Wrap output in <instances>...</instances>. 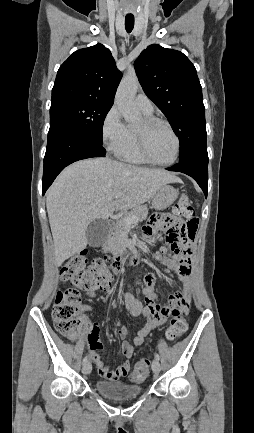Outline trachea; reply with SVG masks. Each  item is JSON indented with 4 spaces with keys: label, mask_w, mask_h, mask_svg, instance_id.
Returning <instances> with one entry per match:
<instances>
[{
    "label": "trachea",
    "mask_w": 254,
    "mask_h": 433,
    "mask_svg": "<svg viewBox=\"0 0 254 433\" xmlns=\"http://www.w3.org/2000/svg\"><path fill=\"white\" fill-rule=\"evenodd\" d=\"M134 28V18H125V29L128 33H131V31Z\"/></svg>",
    "instance_id": "3493384b"
}]
</instances>
